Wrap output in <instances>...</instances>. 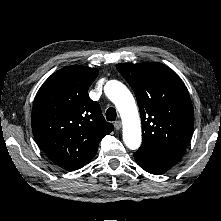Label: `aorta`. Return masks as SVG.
<instances>
[{
  "label": "aorta",
  "instance_id": "1",
  "mask_svg": "<svg viewBox=\"0 0 221 221\" xmlns=\"http://www.w3.org/2000/svg\"><path fill=\"white\" fill-rule=\"evenodd\" d=\"M104 91L121 115L125 145L131 150L138 149L141 145V124L131 92L124 84L116 80L107 82Z\"/></svg>",
  "mask_w": 221,
  "mask_h": 221
}]
</instances>
